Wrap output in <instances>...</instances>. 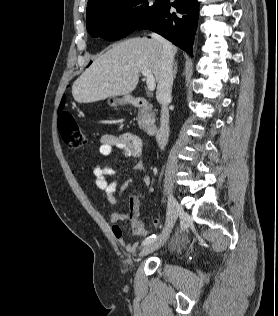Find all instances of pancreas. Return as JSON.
Masks as SVG:
<instances>
[{
	"mask_svg": "<svg viewBox=\"0 0 278 316\" xmlns=\"http://www.w3.org/2000/svg\"><path fill=\"white\" fill-rule=\"evenodd\" d=\"M137 121L140 129L145 130L148 126L155 122V112L151 107L147 109H140L138 111Z\"/></svg>",
	"mask_w": 278,
	"mask_h": 316,
	"instance_id": "pancreas-1",
	"label": "pancreas"
}]
</instances>
